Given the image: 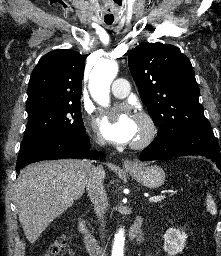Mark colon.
<instances>
[{"mask_svg": "<svg viewBox=\"0 0 221 256\" xmlns=\"http://www.w3.org/2000/svg\"><path fill=\"white\" fill-rule=\"evenodd\" d=\"M65 237L58 238L48 249L44 256H63L65 250Z\"/></svg>", "mask_w": 221, "mask_h": 256, "instance_id": "5ec220e1", "label": "colon"}]
</instances>
